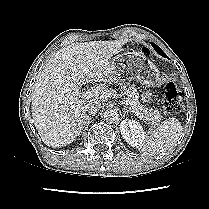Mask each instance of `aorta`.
Here are the masks:
<instances>
[{"label":"aorta","instance_id":"obj_1","mask_svg":"<svg viewBox=\"0 0 209 209\" xmlns=\"http://www.w3.org/2000/svg\"><path fill=\"white\" fill-rule=\"evenodd\" d=\"M119 117V113L114 109L106 110L102 115L103 120L108 124L116 123Z\"/></svg>","mask_w":209,"mask_h":209}]
</instances>
